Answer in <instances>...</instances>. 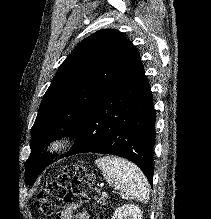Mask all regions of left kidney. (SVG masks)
Segmentation results:
<instances>
[{"label":"left kidney","mask_w":211,"mask_h":219,"mask_svg":"<svg viewBox=\"0 0 211 219\" xmlns=\"http://www.w3.org/2000/svg\"><path fill=\"white\" fill-rule=\"evenodd\" d=\"M112 219H142V211L137 205L124 204L115 210Z\"/></svg>","instance_id":"5707ae66"}]
</instances>
